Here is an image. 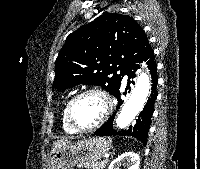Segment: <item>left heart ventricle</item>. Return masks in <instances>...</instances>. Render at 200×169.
<instances>
[{
    "mask_svg": "<svg viewBox=\"0 0 200 169\" xmlns=\"http://www.w3.org/2000/svg\"><path fill=\"white\" fill-rule=\"evenodd\" d=\"M103 99L96 94H88L76 101L73 107V118L80 128H88L98 122L104 113Z\"/></svg>",
    "mask_w": 200,
    "mask_h": 169,
    "instance_id": "obj_1",
    "label": "left heart ventricle"
}]
</instances>
